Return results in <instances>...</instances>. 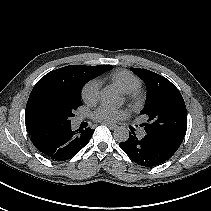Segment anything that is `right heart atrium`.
Segmentation results:
<instances>
[{
  "instance_id": "obj_1",
  "label": "right heart atrium",
  "mask_w": 211,
  "mask_h": 211,
  "mask_svg": "<svg viewBox=\"0 0 211 211\" xmlns=\"http://www.w3.org/2000/svg\"><path fill=\"white\" fill-rule=\"evenodd\" d=\"M100 82L97 79L88 81L82 88L81 95L87 104L95 103L99 98Z\"/></svg>"
}]
</instances>
